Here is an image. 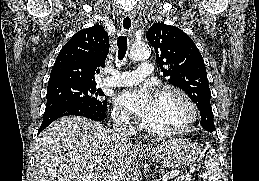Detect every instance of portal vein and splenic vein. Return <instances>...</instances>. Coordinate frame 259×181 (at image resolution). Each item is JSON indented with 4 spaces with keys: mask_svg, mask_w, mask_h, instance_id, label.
<instances>
[{
    "mask_svg": "<svg viewBox=\"0 0 259 181\" xmlns=\"http://www.w3.org/2000/svg\"><path fill=\"white\" fill-rule=\"evenodd\" d=\"M190 170H191V171H194V168H191ZM179 173H180L179 171L170 172V173H168V174H166V175H164V176L162 177V181H168V180H170V179H172V178L178 176ZM157 181H159V180H157Z\"/></svg>",
    "mask_w": 259,
    "mask_h": 181,
    "instance_id": "1",
    "label": "portal vein and splenic vein"
}]
</instances>
